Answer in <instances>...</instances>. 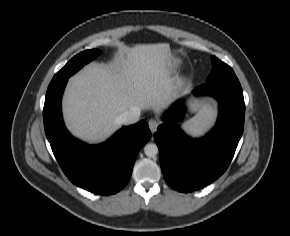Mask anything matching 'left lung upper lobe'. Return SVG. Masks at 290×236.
Returning <instances> with one entry per match:
<instances>
[{"label":"left lung upper lobe","instance_id":"obj_1","mask_svg":"<svg viewBox=\"0 0 290 236\" xmlns=\"http://www.w3.org/2000/svg\"><path fill=\"white\" fill-rule=\"evenodd\" d=\"M211 61H212L213 69L207 78V82H211V81L219 80V79H226L230 77H236L232 68L229 67L224 62L220 61L218 58L212 56Z\"/></svg>","mask_w":290,"mask_h":236}]
</instances>
